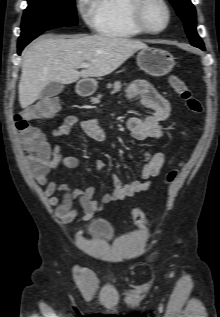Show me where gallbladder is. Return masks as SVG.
<instances>
[{
	"mask_svg": "<svg viewBox=\"0 0 220 317\" xmlns=\"http://www.w3.org/2000/svg\"><path fill=\"white\" fill-rule=\"evenodd\" d=\"M64 90V85L57 81H51L41 91L40 98L47 99L59 95Z\"/></svg>",
	"mask_w": 220,
	"mask_h": 317,
	"instance_id": "1",
	"label": "gallbladder"
}]
</instances>
